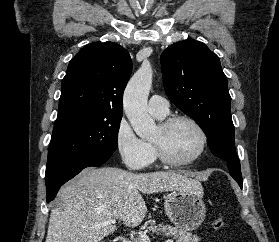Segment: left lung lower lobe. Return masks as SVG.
<instances>
[{
  "instance_id": "left-lung-lower-lobe-1",
  "label": "left lung lower lobe",
  "mask_w": 279,
  "mask_h": 242,
  "mask_svg": "<svg viewBox=\"0 0 279 242\" xmlns=\"http://www.w3.org/2000/svg\"><path fill=\"white\" fill-rule=\"evenodd\" d=\"M237 183L240 185V187L242 188V181H237Z\"/></svg>"
}]
</instances>
